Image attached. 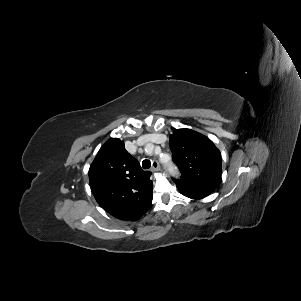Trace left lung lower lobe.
I'll use <instances>...</instances> for the list:
<instances>
[{
    "instance_id": "1",
    "label": "left lung lower lobe",
    "mask_w": 301,
    "mask_h": 301,
    "mask_svg": "<svg viewBox=\"0 0 301 301\" xmlns=\"http://www.w3.org/2000/svg\"><path fill=\"white\" fill-rule=\"evenodd\" d=\"M179 191L184 196L191 198V199H195V200L203 199L209 195V194H205V193L191 192V191H185V190H179Z\"/></svg>"
}]
</instances>
